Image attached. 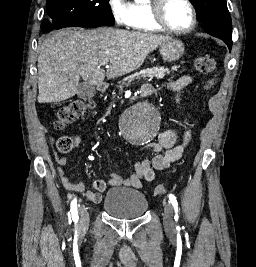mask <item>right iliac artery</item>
I'll return each mask as SVG.
<instances>
[{"instance_id":"right-iliac-artery-1","label":"right iliac artery","mask_w":256,"mask_h":267,"mask_svg":"<svg viewBox=\"0 0 256 267\" xmlns=\"http://www.w3.org/2000/svg\"><path fill=\"white\" fill-rule=\"evenodd\" d=\"M70 213L72 215V219L74 222H77L79 217H78V211H77V200L74 199L71 202V208H70Z\"/></svg>"}]
</instances>
